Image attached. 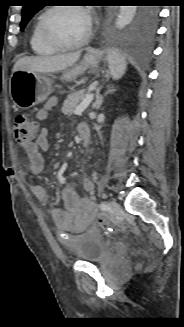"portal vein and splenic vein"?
Listing matches in <instances>:
<instances>
[{
  "label": "portal vein and splenic vein",
  "instance_id": "1",
  "mask_svg": "<svg viewBox=\"0 0 184 327\" xmlns=\"http://www.w3.org/2000/svg\"><path fill=\"white\" fill-rule=\"evenodd\" d=\"M93 97V94L87 95L80 103V105L75 109L74 114L80 115L90 105L93 100Z\"/></svg>",
  "mask_w": 184,
  "mask_h": 327
}]
</instances>
